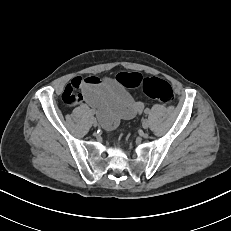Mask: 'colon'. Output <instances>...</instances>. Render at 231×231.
Returning a JSON list of instances; mask_svg holds the SVG:
<instances>
[{
  "mask_svg": "<svg viewBox=\"0 0 231 231\" xmlns=\"http://www.w3.org/2000/svg\"><path fill=\"white\" fill-rule=\"evenodd\" d=\"M115 81L125 89L141 88L146 96L164 104L174 99L171 85L160 78H146L136 72H121L116 76Z\"/></svg>",
  "mask_w": 231,
  "mask_h": 231,
  "instance_id": "5ec220e1",
  "label": "colon"
}]
</instances>
